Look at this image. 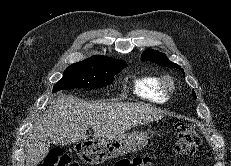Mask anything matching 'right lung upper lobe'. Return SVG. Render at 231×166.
<instances>
[{"instance_id": "1", "label": "right lung upper lobe", "mask_w": 231, "mask_h": 166, "mask_svg": "<svg viewBox=\"0 0 231 166\" xmlns=\"http://www.w3.org/2000/svg\"><path fill=\"white\" fill-rule=\"evenodd\" d=\"M105 58H108L107 56H93L90 59H95V60H103Z\"/></svg>"}]
</instances>
